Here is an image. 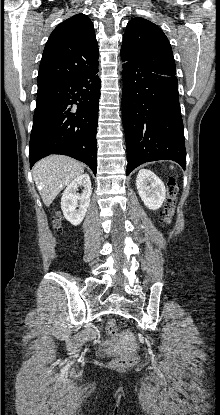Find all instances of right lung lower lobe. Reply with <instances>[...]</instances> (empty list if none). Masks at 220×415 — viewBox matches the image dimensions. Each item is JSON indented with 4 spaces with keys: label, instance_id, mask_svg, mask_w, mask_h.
<instances>
[{
    "label": "right lung lower lobe",
    "instance_id": "right-lung-lower-lobe-1",
    "mask_svg": "<svg viewBox=\"0 0 220 415\" xmlns=\"http://www.w3.org/2000/svg\"><path fill=\"white\" fill-rule=\"evenodd\" d=\"M98 67L37 94L29 143L30 168L52 153L73 157L97 172Z\"/></svg>",
    "mask_w": 220,
    "mask_h": 415
}]
</instances>
